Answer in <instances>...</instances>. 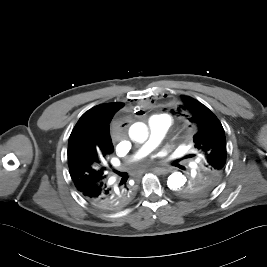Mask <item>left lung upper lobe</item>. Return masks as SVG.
<instances>
[{
    "label": "left lung upper lobe",
    "mask_w": 267,
    "mask_h": 267,
    "mask_svg": "<svg viewBox=\"0 0 267 267\" xmlns=\"http://www.w3.org/2000/svg\"><path fill=\"white\" fill-rule=\"evenodd\" d=\"M178 110L197 127L195 148L203 155L201 171L179 191L186 198L210 193L220 182L226 168V138L218 118L202 103L182 96Z\"/></svg>",
    "instance_id": "5c2ea615"
}]
</instances>
